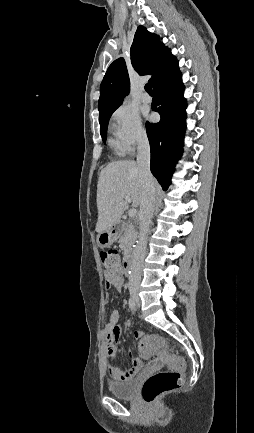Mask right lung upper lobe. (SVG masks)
<instances>
[{
    "label": "right lung upper lobe",
    "mask_w": 254,
    "mask_h": 433,
    "mask_svg": "<svg viewBox=\"0 0 254 433\" xmlns=\"http://www.w3.org/2000/svg\"><path fill=\"white\" fill-rule=\"evenodd\" d=\"M130 53L133 68L140 75H152L149 82L153 88L177 63L170 50L160 42L159 36L148 32L143 26L136 30ZM129 90L130 80L126 64L123 58H119L109 66L100 86L99 122L121 105Z\"/></svg>",
    "instance_id": "1"
}]
</instances>
